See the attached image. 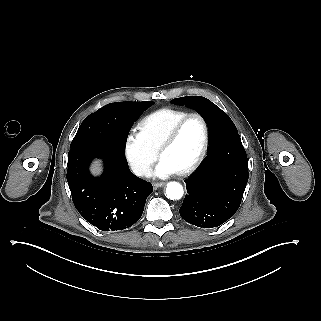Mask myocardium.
Here are the masks:
<instances>
[{
  "label": "myocardium",
  "instance_id": "obj_1",
  "mask_svg": "<svg viewBox=\"0 0 321 321\" xmlns=\"http://www.w3.org/2000/svg\"><path fill=\"white\" fill-rule=\"evenodd\" d=\"M192 118H198L202 123L203 142H202V146H201V149H200L198 155L196 156L194 161L191 163V165L188 166L186 169L180 171V174H182V175L192 174L194 171H196L198 169V167L201 165V163L203 162V160L206 157V154H207V151L209 148V141H210L209 126H208L206 119L201 114H198V113H190V114L182 117L169 129V131L163 136V138L160 140V142L158 144V147L160 149V147L167 145V144L171 143L172 141H174V139L176 138V136H177L180 128L183 126V124Z\"/></svg>",
  "mask_w": 321,
  "mask_h": 321
}]
</instances>
